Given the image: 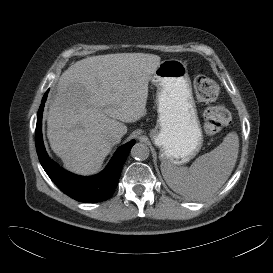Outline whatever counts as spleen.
I'll use <instances>...</instances> for the list:
<instances>
[{
  "label": "spleen",
  "mask_w": 273,
  "mask_h": 273,
  "mask_svg": "<svg viewBox=\"0 0 273 273\" xmlns=\"http://www.w3.org/2000/svg\"><path fill=\"white\" fill-rule=\"evenodd\" d=\"M239 138L230 132L215 149L199 156L190 167L161 163L162 175L176 193L191 199L213 195L229 178L238 157Z\"/></svg>",
  "instance_id": "3e777b00"
}]
</instances>
